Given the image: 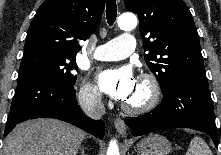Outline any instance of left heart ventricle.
Instances as JSON below:
<instances>
[{"instance_id":"1","label":"left heart ventricle","mask_w":221,"mask_h":155,"mask_svg":"<svg viewBox=\"0 0 221 155\" xmlns=\"http://www.w3.org/2000/svg\"><path fill=\"white\" fill-rule=\"evenodd\" d=\"M147 95H148L147 87L143 83L137 81L132 94L125 101V103L131 104V105L141 104L142 102L146 100Z\"/></svg>"}]
</instances>
